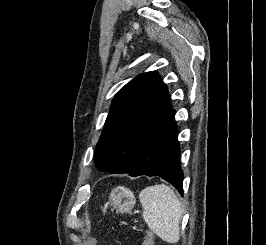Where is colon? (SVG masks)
<instances>
[{"label": "colon", "instance_id": "obj_1", "mask_svg": "<svg viewBox=\"0 0 266 245\" xmlns=\"http://www.w3.org/2000/svg\"><path fill=\"white\" fill-rule=\"evenodd\" d=\"M154 238L150 232H146L142 245H154Z\"/></svg>", "mask_w": 266, "mask_h": 245}]
</instances>
